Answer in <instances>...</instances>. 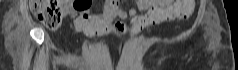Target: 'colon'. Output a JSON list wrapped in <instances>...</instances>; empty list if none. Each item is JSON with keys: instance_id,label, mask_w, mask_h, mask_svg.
<instances>
[{"instance_id": "obj_1", "label": "colon", "mask_w": 238, "mask_h": 70, "mask_svg": "<svg viewBox=\"0 0 238 70\" xmlns=\"http://www.w3.org/2000/svg\"><path fill=\"white\" fill-rule=\"evenodd\" d=\"M110 3L118 2L117 0H110ZM177 6L171 11L166 12V17L173 16L174 18L185 19L189 17L194 8L193 0H177ZM74 4L78 5L79 0ZM31 11L37 18L48 28H58L65 16V10L59 0H31Z\"/></svg>"}]
</instances>
